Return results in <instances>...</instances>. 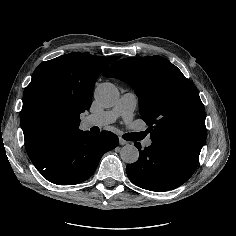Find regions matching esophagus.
I'll list each match as a JSON object with an SVG mask.
<instances>
[{"instance_id":"esophagus-1","label":"esophagus","mask_w":236,"mask_h":236,"mask_svg":"<svg viewBox=\"0 0 236 236\" xmlns=\"http://www.w3.org/2000/svg\"><path fill=\"white\" fill-rule=\"evenodd\" d=\"M119 143H120V145H126V144H127V141H125V140L122 139V138H119Z\"/></svg>"}]
</instances>
